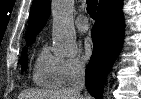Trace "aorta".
Instances as JSON below:
<instances>
[{"label": "aorta", "mask_w": 141, "mask_h": 99, "mask_svg": "<svg viewBox=\"0 0 141 99\" xmlns=\"http://www.w3.org/2000/svg\"><path fill=\"white\" fill-rule=\"evenodd\" d=\"M73 10L74 0L52 1V39L55 51L64 56L73 55L77 50L76 33L73 25ZM103 97L108 99L107 94H104Z\"/></svg>", "instance_id": "obj_1"}]
</instances>
